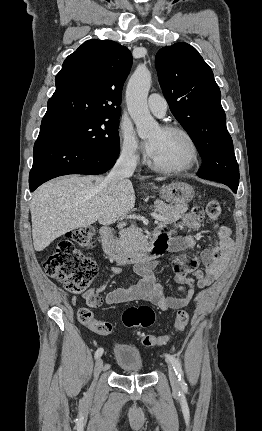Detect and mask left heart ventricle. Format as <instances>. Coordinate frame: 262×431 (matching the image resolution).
I'll return each mask as SVG.
<instances>
[{
  "instance_id": "obj_1",
  "label": "left heart ventricle",
  "mask_w": 262,
  "mask_h": 431,
  "mask_svg": "<svg viewBox=\"0 0 262 431\" xmlns=\"http://www.w3.org/2000/svg\"><path fill=\"white\" fill-rule=\"evenodd\" d=\"M148 139L156 141L155 150L150 155L155 162L166 166H177L187 161L190 147L182 135L156 128L149 134Z\"/></svg>"
}]
</instances>
